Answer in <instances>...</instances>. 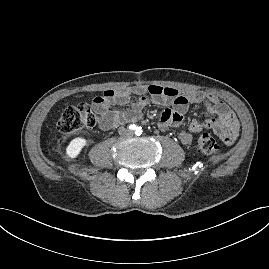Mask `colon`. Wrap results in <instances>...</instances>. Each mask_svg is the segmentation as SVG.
I'll return each mask as SVG.
<instances>
[{"label": "colon", "instance_id": "1", "mask_svg": "<svg viewBox=\"0 0 269 269\" xmlns=\"http://www.w3.org/2000/svg\"><path fill=\"white\" fill-rule=\"evenodd\" d=\"M100 122V115L88 104L66 107L57 122L60 133L69 135L84 128H91ZM198 149L206 155L218 156L220 149L214 137L209 133L201 134L197 139Z\"/></svg>", "mask_w": 269, "mask_h": 269}]
</instances>
